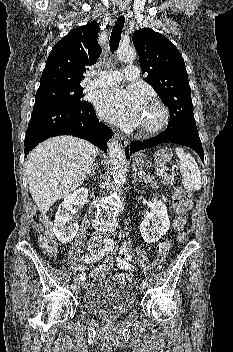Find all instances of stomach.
<instances>
[{
  "mask_svg": "<svg viewBox=\"0 0 233 352\" xmlns=\"http://www.w3.org/2000/svg\"><path fill=\"white\" fill-rule=\"evenodd\" d=\"M135 164L139 167H143L147 164V159L144 155H139L135 158Z\"/></svg>",
  "mask_w": 233,
  "mask_h": 352,
  "instance_id": "obj_1",
  "label": "stomach"
}]
</instances>
